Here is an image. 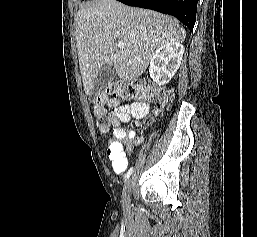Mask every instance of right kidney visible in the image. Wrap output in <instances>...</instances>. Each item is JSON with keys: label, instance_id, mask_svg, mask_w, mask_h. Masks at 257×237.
Segmentation results:
<instances>
[{"label": "right kidney", "instance_id": "1", "mask_svg": "<svg viewBox=\"0 0 257 237\" xmlns=\"http://www.w3.org/2000/svg\"><path fill=\"white\" fill-rule=\"evenodd\" d=\"M184 53V46L170 42L158 48L153 54L149 73L158 85L167 84L178 70Z\"/></svg>", "mask_w": 257, "mask_h": 237}]
</instances>
